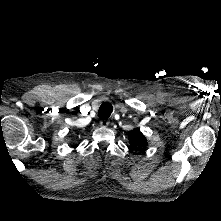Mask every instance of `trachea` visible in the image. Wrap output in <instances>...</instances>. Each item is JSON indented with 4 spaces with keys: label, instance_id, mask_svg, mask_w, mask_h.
<instances>
[{
    "label": "trachea",
    "instance_id": "3493384b",
    "mask_svg": "<svg viewBox=\"0 0 221 221\" xmlns=\"http://www.w3.org/2000/svg\"><path fill=\"white\" fill-rule=\"evenodd\" d=\"M112 111H113L112 104L107 103V102L103 103L98 110V116L101 119H108L110 117Z\"/></svg>",
    "mask_w": 221,
    "mask_h": 221
}]
</instances>
